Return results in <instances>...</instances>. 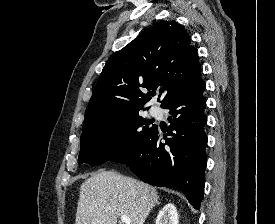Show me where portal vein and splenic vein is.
Returning a JSON list of instances; mask_svg holds the SVG:
<instances>
[{
    "label": "portal vein and splenic vein",
    "instance_id": "1",
    "mask_svg": "<svg viewBox=\"0 0 275 224\" xmlns=\"http://www.w3.org/2000/svg\"><path fill=\"white\" fill-rule=\"evenodd\" d=\"M121 222L125 223V224H130V219H129V217H127L125 215H122L121 216Z\"/></svg>",
    "mask_w": 275,
    "mask_h": 224
}]
</instances>
